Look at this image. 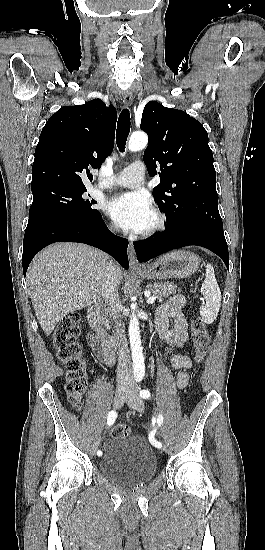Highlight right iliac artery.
<instances>
[{
  "label": "right iliac artery",
  "mask_w": 265,
  "mask_h": 550,
  "mask_svg": "<svg viewBox=\"0 0 265 550\" xmlns=\"http://www.w3.org/2000/svg\"><path fill=\"white\" fill-rule=\"evenodd\" d=\"M116 418H117V412L114 411V410L110 411L109 414H108V418H107V424L109 426L113 425ZM101 454H102V452L100 450L97 451V455H101Z\"/></svg>",
  "instance_id": "82829eb1"
}]
</instances>
